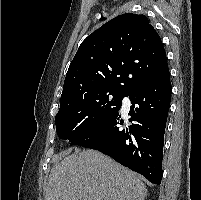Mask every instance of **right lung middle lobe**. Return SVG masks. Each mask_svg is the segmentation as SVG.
Listing matches in <instances>:
<instances>
[{
    "mask_svg": "<svg viewBox=\"0 0 201 200\" xmlns=\"http://www.w3.org/2000/svg\"><path fill=\"white\" fill-rule=\"evenodd\" d=\"M109 95L113 96L111 100ZM125 96L115 91H97L61 102L55 117L58 137L71 142L98 126L121 108Z\"/></svg>",
    "mask_w": 201,
    "mask_h": 200,
    "instance_id": "dd1d6c3e",
    "label": "right lung middle lobe"
}]
</instances>
